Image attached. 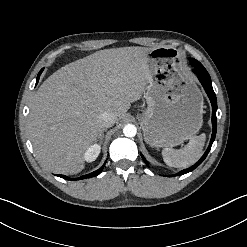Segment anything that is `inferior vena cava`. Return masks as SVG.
Returning <instances> with one entry per match:
<instances>
[{
  "label": "inferior vena cava",
  "mask_w": 247,
  "mask_h": 247,
  "mask_svg": "<svg viewBox=\"0 0 247 247\" xmlns=\"http://www.w3.org/2000/svg\"><path fill=\"white\" fill-rule=\"evenodd\" d=\"M116 118L112 112L105 111L99 115V122L101 128H109L115 124Z\"/></svg>",
  "instance_id": "obj_1"
}]
</instances>
